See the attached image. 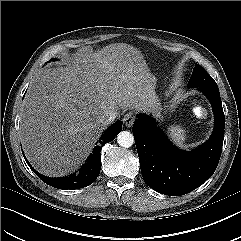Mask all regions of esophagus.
I'll return each mask as SVG.
<instances>
[{
  "mask_svg": "<svg viewBox=\"0 0 241 241\" xmlns=\"http://www.w3.org/2000/svg\"><path fill=\"white\" fill-rule=\"evenodd\" d=\"M123 122L126 127H132L135 122V115L133 112H128L123 117Z\"/></svg>",
  "mask_w": 241,
  "mask_h": 241,
  "instance_id": "34e87169",
  "label": "esophagus"
}]
</instances>
